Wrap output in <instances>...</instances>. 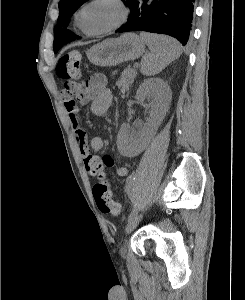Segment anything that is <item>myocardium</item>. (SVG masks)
<instances>
[{
	"label": "myocardium",
	"mask_w": 245,
	"mask_h": 300,
	"mask_svg": "<svg viewBox=\"0 0 245 300\" xmlns=\"http://www.w3.org/2000/svg\"><path fill=\"white\" fill-rule=\"evenodd\" d=\"M100 2H107V3H111V4L115 5L119 9V12H120L119 19L113 25H111L105 29L97 30V31H89L84 27V25L82 23L83 13L89 6L96 4V3H100ZM129 15H130V10H129L128 6L126 5V3L124 2V0H88L79 8L77 16H76V23H77V26L87 35L99 36V35L108 34L112 31L120 28L124 23H126V21L129 18Z\"/></svg>",
	"instance_id": "1"
}]
</instances>
